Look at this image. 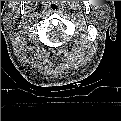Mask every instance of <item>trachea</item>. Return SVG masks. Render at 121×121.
I'll list each match as a JSON object with an SVG mask.
<instances>
[{"label":"trachea","mask_w":121,"mask_h":121,"mask_svg":"<svg viewBox=\"0 0 121 121\" xmlns=\"http://www.w3.org/2000/svg\"><path fill=\"white\" fill-rule=\"evenodd\" d=\"M49 8L52 12L57 13L60 10V5L57 2H54L49 6Z\"/></svg>","instance_id":"trachea-1"}]
</instances>
